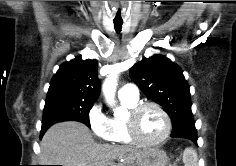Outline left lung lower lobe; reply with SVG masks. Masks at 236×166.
<instances>
[{
  "label": "left lung lower lobe",
  "mask_w": 236,
  "mask_h": 166,
  "mask_svg": "<svg viewBox=\"0 0 236 166\" xmlns=\"http://www.w3.org/2000/svg\"><path fill=\"white\" fill-rule=\"evenodd\" d=\"M173 130L171 137H181L192 140L194 143H197V132L195 129V124H183L175 123L172 125Z\"/></svg>",
  "instance_id": "obj_1"
}]
</instances>
